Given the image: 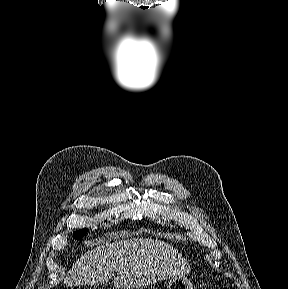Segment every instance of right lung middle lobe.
<instances>
[{
    "instance_id": "dd1d6c3e",
    "label": "right lung middle lobe",
    "mask_w": 288,
    "mask_h": 289,
    "mask_svg": "<svg viewBox=\"0 0 288 289\" xmlns=\"http://www.w3.org/2000/svg\"><path fill=\"white\" fill-rule=\"evenodd\" d=\"M86 232H87L86 228L82 229V230H78V231L74 232V238L78 240L81 237H83L86 234Z\"/></svg>"
}]
</instances>
